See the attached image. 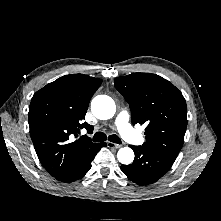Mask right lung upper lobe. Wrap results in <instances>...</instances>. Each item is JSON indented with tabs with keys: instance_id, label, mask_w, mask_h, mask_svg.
Here are the masks:
<instances>
[{
	"instance_id": "cb5924a9",
	"label": "right lung upper lobe",
	"mask_w": 221,
	"mask_h": 221,
	"mask_svg": "<svg viewBox=\"0 0 221 221\" xmlns=\"http://www.w3.org/2000/svg\"><path fill=\"white\" fill-rule=\"evenodd\" d=\"M102 80L84 74L60 77L37 91L29 108L30 135L37 156L51 175L79 162L98 144L78 137L91 97Z\"/></svg>"
}]
</instances>
